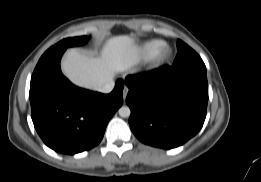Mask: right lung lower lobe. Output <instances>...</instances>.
I'll list each match as a JSON object with an SVG mask.
<instances>
[{
    "mask_svg": "<svg viewBox=\"0 0 261 182\" xmlns=\"http://www.w3.org/2000/svg\"><path fill=\"white\" fill-rule=\"evenodd\" d=\"M66 49L43 54L30 83L31 116L44 143L76 154L100 143L110 118L123 103V80L110 94L81 89L66 79L60 59Z\"/></svg>",
    "mask_w": 261,
    "mask_h": 182,
    "instance_id": "right-lung-lower-lobe-1",
    "label": "right lung lower lobe"
}]
</instances>
